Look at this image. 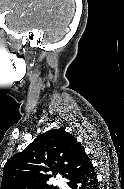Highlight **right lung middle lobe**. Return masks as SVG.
Here are the masks:
<instances>
[{
    "instance_id": "1",
    "label": "right lung middle lobe",
    "mask_w": 124,
    "mask_h": 189,
    "mask_svg": "<svg viewBox=\"0 0 124 189\" xmlns=\"http://www.w3.org/2000/svg\"><path fill=\"white\" fill-rule=\"evenodd\" d=\"M38 189H57V188L53 186H49V185H44V186L39 187Z\"/></svg>"
}]
</instances>
